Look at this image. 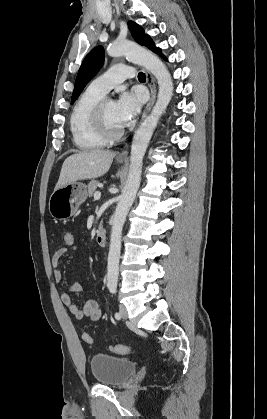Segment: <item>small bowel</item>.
<instances>
[{
	"label": "small bowel",
	"instance_id": "small-bowel-1",
	"mask_svg": "<svg viewBox=\"0 0 267 419\" xmlns=\"http://www.w3.org/2000/svg\"><path fill=\"white\" fill-rule=\"evenodd\" d=\"M76 251V246L73 247H61L59 248L52 257V267L53 275L56 282H60L63 278V273L60 268V260L73 252ZM81 290V285L79 283H73L69 292L63 293L61 295L62 304L69 310V312L77 319L82 320L84 318L90 319L92 321H97L102 317V309L99 306L98 302L95 300H88L82 306L75 304L71 298L70 293H76Z\"/></svg>",
	"mask_w": 267,
	"mask_h": 419
}]
</instances>
